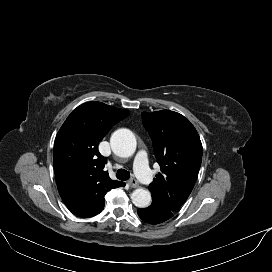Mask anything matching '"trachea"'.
Masks as SVG:
<instances>
[{"mask_svg": "<svg viewBox=\"0 0 272 272\" xmlns=\"http://www.w3.org/2000/svg\"><path fill=\"white\" fill-rule=\"evenodd\" d=\"M116 177L120 180H128L130 178V173L125 169H118L116 173Z\"/></svg>", "mask_w": 272, "mask_h": 272, "instance_id": "obj_1", "label": "trachea"}]
</instances>
